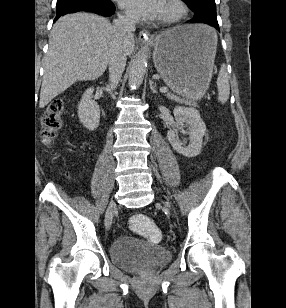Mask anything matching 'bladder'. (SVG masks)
<instances>
[{"mask_svg": "<svg viewBox=\"0 0 286 308\" xmlns=\"http://www.w3.org/2000/svg\"><path fill=\"white\" fill-rule=\"evenodd\" d=\"M112 261L126 269L158 268L171 259V251L163 246L146 244L133 238L117 239L111 246Z\"/></svg>", "mask_w": 286, "mask_h": 308, "instance_id": "1", "label": "bladder"}]
</instances>
